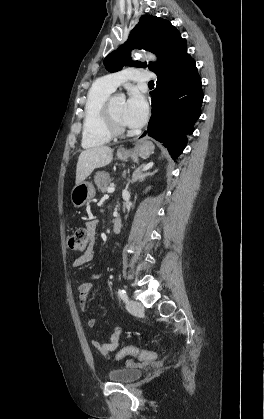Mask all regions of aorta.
Listing matches in <instances>:
<instances>
[{
	"mask_svg": "<svg viewBox=\"0 0 264 419\" xmlns=\"http://www.w3.org/2000/svg\"><path fill=\"white\" fill-rule=\"evenodd\" d=\"M138 58H144V59H148L150 61H157V57L156 55L152 54V53H142V54H136L135 55V59ZM121 98H124V95H121Z\"/></svg>",
	"mask_w": 264,
	"mask_h": 419,
	"instance_id": "aorta-1",
	"label": "aorta"
}]
</instances>
